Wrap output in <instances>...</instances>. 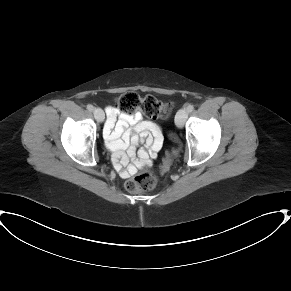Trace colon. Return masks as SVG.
<instances>
[{
    "mask_svg": "<svg viewBox=\"0 0 291 291\" xmlns=\"http://www.w3.org/2000/svg\"><path fill=\"white\" fill-rule=\"evenodd\" d=\"M116 107L130 113L140 111L153 119L168 118L172 112L170 103H163L152 95L140 96L135 92H127L117 100ZM157 178L152 171L142 170L134 178L126 182V189L131 193H144L155 188Z\"/></svg>",
    "mask_w": 291,
    "mask_h": 291,
    "instance_id": "colon-1",
    "label": "colon"
}]
</instances>
